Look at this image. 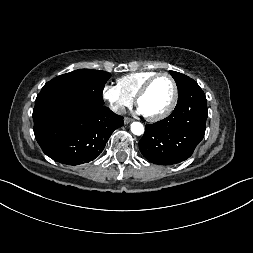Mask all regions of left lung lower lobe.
<instances>
[{"instance_id":"1","label":"left lung lower lobe","mask_w":253,"mask_h":253,"mask_svg":"<svg viewBox=\"0 0 253 253\" xmlns=\"http://www.w3.org/2000/svg\"><path fill=\"white\" fill-rule=\"evenodd\" d=\"M207 117L206 96L194 83L179 96L170 116L146 125L139 141L140 152L158 165H172L188 159L204 137Z\"/></svg>"}]
</instances>
